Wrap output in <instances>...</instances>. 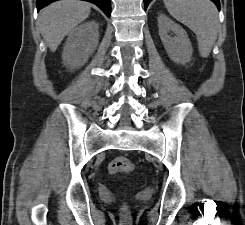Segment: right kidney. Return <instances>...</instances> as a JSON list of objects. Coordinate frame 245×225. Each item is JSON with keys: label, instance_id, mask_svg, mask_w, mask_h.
Returning a JSON list of instances; mask_svg holds the SVG:
<instances>
[{"label": "right kidney", "instance_id": "right-kidney-1", "mask_svg": "<svg viewBox=\"0 0 245 225\" xmlns=\"http://www.w3.org/2000/svg\"><path fill=\"white\" fill-rule=\"evenodd\" d=\"M98 28V23L89 21L70 32L62 54L68 68L78 69L88 61L99 43Z\"/></svg>", "mask_w": 245, "mask_h": 225}]
</instances>
